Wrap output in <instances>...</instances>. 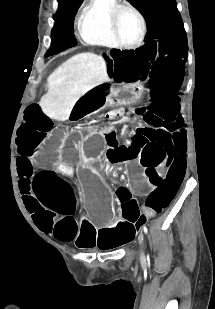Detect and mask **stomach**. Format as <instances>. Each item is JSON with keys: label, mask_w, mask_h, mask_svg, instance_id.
Returning <instances> with one entry per match:
<instances>
[{"label": "stomach", "mask_w": 215, "mask_h": 309, "mask_svg": "<svg viewBox=\"0 0 215 309\" xmlns=\"http://www.w3.org/2000/svg\"><path fill=\"white\" fill-rule=\"evenodd\" d=\"M141 86L137 85V86H132L130 87L129 89H126L124 91V95L127 97V98H132L134 96H136L140 90H141Z\"/></svg>", "instance_id": "0dacf381"}]
</instances>
